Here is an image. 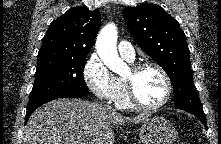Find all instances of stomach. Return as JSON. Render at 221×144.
I'll return each instance as SVG.
<instances>
[{
  "instance_id": "obj_1",
  "label": "stomach",
  "mask_w": 221,
  "mask_h": 144,
  "mask_svg": "<svg viewBox=\"0 0 221 144\" xmlns=\"http://www.w3.org/2000/svg\"><path fill=\"white\" fill-rule=\"evenodd\" d=\"M139 135L143 144H174L177 139L174 126L162 116L145 120L139 128Z\"/></svg>"
}]
</instances>
